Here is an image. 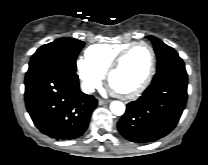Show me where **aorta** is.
Instances as JSON below:
<instances>
[{
  "instance_id": "obj_1",
  "label": "aorta",
  "mask_w": 208,
  "mask_h": 165,
  "mask_svg": "<svg viewBox=\"0 0 208 165\" xmlns=\"http://www.w3.org/2000/svg\"><path fill=\"white\" fill-rule=\"evenodd\" d=\"M110 110L114 115L121 116L125 112V105L121 101H112Z\"/></svg>"
}]
</instances>
